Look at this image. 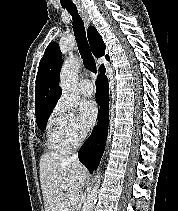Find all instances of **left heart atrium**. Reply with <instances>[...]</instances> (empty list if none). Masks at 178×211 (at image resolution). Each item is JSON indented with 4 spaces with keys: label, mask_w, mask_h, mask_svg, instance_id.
Returning a JSON list of instances; mask_svg holds the SVG:
<instances>
[{
    "label": "left heart atrium",
    "mask_w": 178,
    "mask_h": 211,
    "mask_svg": "<svg viewBox=\"0 0 178 211\" xmlns=\"http://www.w3.org/2000/svg\"><path fill=\"white\" fill-rule=\"evenodd\" d=\"M80 120L84 127L91 128L97 119L98 107L91 99L82 100L79 104Z\"/></svg>",
    "instance_id": "obj_1"
}]
</instances>
